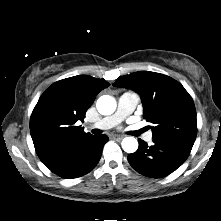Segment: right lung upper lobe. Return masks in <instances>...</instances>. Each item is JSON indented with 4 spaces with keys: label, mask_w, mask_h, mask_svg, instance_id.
Instances as JSON below:
<instances>
[{
    "label": "right lung upper lobe",
    "mask_w": 221,
    "mask_h": 221,
    "mask_svg": "<svg viewBox=\"0 0 221 221\" xmlns=\"http://www.w3.org/2000/svg\"><path fill=\"white\" fill-rule=\"evenodd\" d=\"M110 84L88 75L66 78L52 84L39 98L30 119L36 153L50 169L61 163L87 138L77 121H84L96 95Z\"/></svg>",
    "instance_id": "cb5924a9"
}]
</instances>
